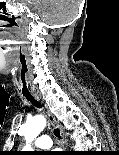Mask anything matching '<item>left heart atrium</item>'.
I'll use <instances>...</instances> for the list:
<instances>
[{
    "mask_svg": "<svg viewBox=\"0 0 119 155\" xmlns=\"http://www.w3.org/2000/svg\"><path fill=\"white\" fill-rule=\"evenodd\" d=\"M49 155H60V154H57V152H54V153L49 154Z\"/></svg>",
    "mask_w": 119,
    "mask_h": 155,
    "instance_id": "left-heart-atrium-1",
    "label": "left heart atrium"
}]
</instances>
